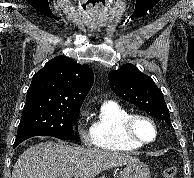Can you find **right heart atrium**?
Segmentation results:
<instances>
[{"label": "right heart atrium", "mask_w": 194, "mask_h": 178, "mask_svg": "<svg viewBox=\"0 0 194 178\" xmlns=\"http://www.w3.org/2000/svg\"><path fill=\"white\" fill-rule=\"evenodd\" d=\"M88 115L85 111H82L75 123L76 132L79 140L84 145H89L92 142L91 131L87 127Z\"/></svg>", "instance_id": "right-heart-atrium-1"}]
</instances>
